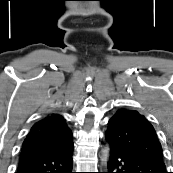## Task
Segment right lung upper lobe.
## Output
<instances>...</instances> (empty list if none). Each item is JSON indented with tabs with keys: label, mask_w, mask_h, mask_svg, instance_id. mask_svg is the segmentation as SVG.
<instances>
[{
	"label": "right lung upper lobe",
	"mask_w": 173,
	"mask_h": 173,
	"mask_svg": "<svg viewBox=\"0 0 173 173\" xmlns=\"http://www.w3.org/2000/svg\"><path fill=\"white\" fill-rule=\"evenodd\" d=\"M72 144V132L63 117L47 115L31 128L23 142L20 158L56 151Z\"/></svg>",
	"instance_id": "1"
}]
</instances>
